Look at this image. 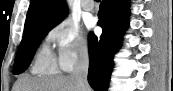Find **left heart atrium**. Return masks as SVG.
<instances>
[{
	"instance_id": "left-heart-atrium-1",
	"label": "left heart atrium",
	"mask_w": 173,
	"mask_h": 91,
	"mask_svg": "<svg viewBox=\"0 0 173 91\" xmlns=\"http://www.w3.org/2000/svg\"><path fill=\"white\" fill-rule=\"evenodd\" d=\"M88 26H89V27H92V26H93V22L90 21V22L88 23Z\"/></svg>"
}]
</instances>
